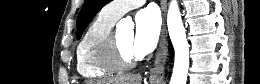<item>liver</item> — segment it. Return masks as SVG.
I'll return each instance as SVG.
<instances>
[{
    "label": "liver",
    "mask_w": 260,
    "mask_h": 84,
    "mask_svg": "<svg viewBox=\"0 0 260 84\" xmlns=\"http://www.w3.org/2000/svg\"><path fill=\"white\" fill-rule=\"evenodd\" d=\"M140 75H123L119 77L98 80L96 82L88 81L87 84H141Z\"/></svg>",
    "instance_id": "liver-1"
}]
</instances>
